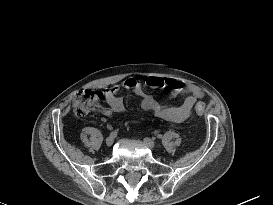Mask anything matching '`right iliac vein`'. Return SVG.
Returning <instances> with one entry per match:
<instances>
[{
    "label": "right iliac vein",
    "mask_w": 273,
    "mask_h": 205,
    "mask_svg": "<svg viewBox=\"0 0 273 205\" xmlns=\"http://www.w3.org/2000/svg\"><path fill=\"white\" fill-rule=\"evenodd\" d=\"M114 139H115V137H113V136H109V137H107L106 138V145L107 146H112V144L114 143Z\"/></svg>",
    "instance_id": "obj_1"
}]
</instances>
